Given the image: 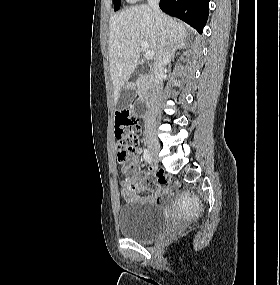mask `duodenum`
<instances>
[{"mask_svg": "<svg viewBox=\"0 0 280 285\" xmlns=\"http://www.w3.org/2000/svg\"><path fill=\"white\" fill-rule=\"evenodd\" d=\"M142 94H143V97H144L145 101L147 102L149 100V98H150V93L148 91H146V90H143ZM144 116H145V114H144Z\"/></svg>", "mask_w": 280, "mask_h": 285, "instance_id": "obj_1", "label": "duodenum"}]
</instances>
